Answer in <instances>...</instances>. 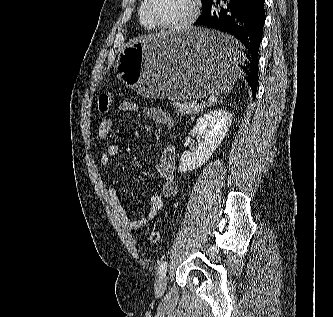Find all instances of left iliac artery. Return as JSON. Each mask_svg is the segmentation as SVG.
<instances>
[{
    "mask_svg": "<svg viewBox=\"0 0 333 317\" xmlns=\"http://www.w3.org/2000/svg\"><path fill=\"white\" fill-rule=\"evenodd\" d=\"M167 267H168V262L167 261L161 262L160 267H159V274L160 275L165 274L166 271H167Z\"/></svg>",
    "mask_w": 333,
    "mask_h": 317,
    "instance_id": "obj_1",
    "label": "left iliac artery"
}]
</instances>
